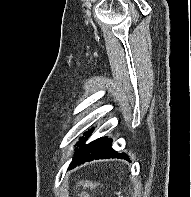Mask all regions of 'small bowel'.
Returning a JSON list of instances; mask_svg holds the SVG:
<instances>
[{
	"label": "small bowel",
	"instance_id": "small-bowel-1",
	"mask_svg": "<svg viewBox=\"0 0 191 197\" xmlns=\"http://www.w3.org/2000/svg\"><path fill=\"white\" fill-rule=\"evenodd\" d=\"M82 197H89L88 195H83Z\"/></svg>",
	"mask_w": 191,
	"mask_h": 197
}]
</instances>
